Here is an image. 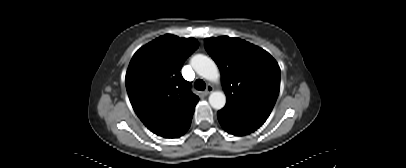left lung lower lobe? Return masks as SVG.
Returning <instances> with one entry per match:
<instances>
[{"instance_id":"1","label":"left lung lower lobe","mask_w":406,"mask_h":168,"mask_svg":"<svg viewBox=\"0 0 406 168\" xmlns=\"http://www.w3.org/2000/svg\"><path fill=\"white\" fill-rule=\"evenodd\" d=\"M217 117L223 129L229 134L236 136L250 134L266 121L265 118L244 113L227 106L218 111Z\"/></svg>"}]
</instances>
